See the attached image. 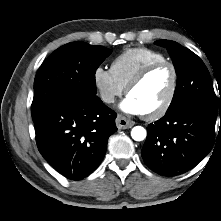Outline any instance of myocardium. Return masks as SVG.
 Masks as SVG:
<instances>
[{
	"label": "myocardium",
	"instance_id": "myocardium-1",
	"mask_svg": "<svg viewBox=\"0 0 221 221\" xmlns=\"http://www.w3.org/2000/svg\"><path fill=\"white\" fill-rule=\"evenodd\" d=\"M162 66H167L171 69L172 72V81H171V86L170 90L163 101V103L156 108L155 110L144 113V117L149 120H154L162 117L170 108V106L173 103V100L176 95L177 87H178V71L176 66L167 60H162V61H156L153 63H150L143 67L128 83L126 86V93L129 95V93L137 87L151 72H153L155 69L162 67Z\"/></svg>",
	"mask_w": 221,
	"mask_h": 221
}]
</instances>
